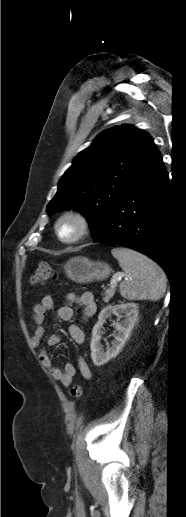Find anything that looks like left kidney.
I'll return each instance as SVG.
<instances>
[{
	"instance_id": "obj_1",
	"label": "left kidney",
	"mask_w": 186,
	"mask_h": 517,
	"mask_svg": "<svg viewBox=\"0 0 186 517\" xmlns=\"http://www.w3.org/2000/svg\"><path fill=\"white\" fill-rule=\"evenodd\" d=\"M138 311V305L135 303H122L114 306L108 305L101 310L98 316V321L92 330V339L90 344L91 358L96 366L106 364L111 358H114L119 354L137 321ZM112 314L116 315L118 318L124 317V320L120 323L116 322L114 324L118 333L117 335H114L115 340L112 341V346H108L107 350L104 351L103 346L100 343L102 335L104 334L102 328L106 319L111 317Z\"/></svg>"
}]
</instances>
